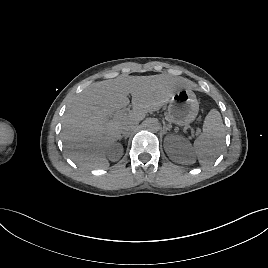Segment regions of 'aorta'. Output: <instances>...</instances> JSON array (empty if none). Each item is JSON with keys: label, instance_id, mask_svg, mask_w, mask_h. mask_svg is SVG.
I'll use <instances>...</instances> for the list:
<instances>
[{"label": "aorta", "instance_id": "1", "mask_svg": "<svg viewBox=\"0 0 268 268\" xmlns=\"http://www.w3.org/2000/svg\"><path fill=\"white\" fill-rule=\"evenodd\" d=\"M146 127L151 132H158L161 128L159 121L155 118H149L146 121Z\"/></svg>", "mask_w": 268, "mask_h": 268}]
</instances>
